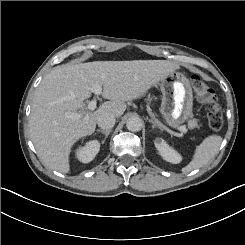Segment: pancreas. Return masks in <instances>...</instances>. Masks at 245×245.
I'll list each match as a JSON object with an SVG mask.
<instances>
[{"instance_id": "cf45deb5", "label": "pancreas", "mask_w": 245, "mask_h": 245, "mask_svg": "<svg viewBox=\"0 0 245 245\" xmlns=\"http://www.w3.org/2000/svg\"><path fill=\"white\" fill-rule=\"evenodd\" d=\"M151 99L149 98L148 101H150ZM198 127V120L197 119H191L188 121V128L189 129H194Z\"/></svg>"}]
</instances>
